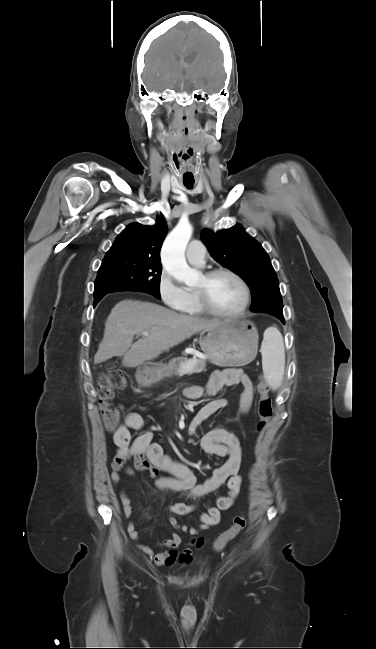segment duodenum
I'll list each match as a JSON object with an SVG mask.
<instances>
[{"label": "duodenum", "instance_id": "duodenum-1", "mask_svg": "<svg viewBox=\"0 0 376 649\" xmlns=\"http://www.w3.org/2000/svg\"><path fill=\"white\" fill-rule=\"evenodd\" d=\"M142 377H145V374H144V373L142 374Z\"/></svg>", "mask_w": 376, "mask_h": 649}]
</instances>
